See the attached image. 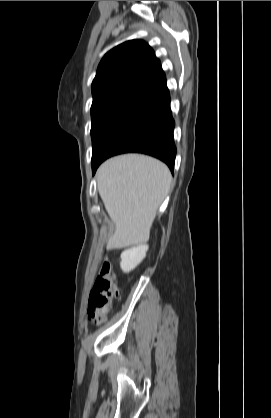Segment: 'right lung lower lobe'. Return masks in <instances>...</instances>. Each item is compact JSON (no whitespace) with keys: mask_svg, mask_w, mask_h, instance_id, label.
I'll return each instance as SVG.
<instances>
[{"mask_svg":"<svg viewBox=\"0 0 271 418\" xmlns=\"http://www.w3.org/2000/svg\"><path fill=\"white\" fill-rule=\"evenodd\" d=\"M173 129L170 96H167L132 120L107 143L92 162L93 174L105 159L127 152L154 156L173 172L176 156Z\"/></svg>","mask_w":271,"mask_h":418,"instance_id":"98d812e1","label":"right lung lower lobe"}]
</instances>
